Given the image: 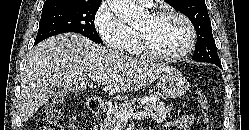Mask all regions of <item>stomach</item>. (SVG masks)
<instances>
[{
	"label": "stomach",
	"mask_w": 249,
	"mask_h": 130,
	"mask_svg": "<svg viewBox=\"0 0 249 130\" xmlns=\"http://www.w3.org/2000/svg\"><path fill=\"white\" fill-rule=\"evenodd\" d=\"M158 88L165 98H177L189 89V83L183 75L177 71L163 73L157 79Z\"/></svg>",
	"instance_id": "obj_1"
}]
</instances>
